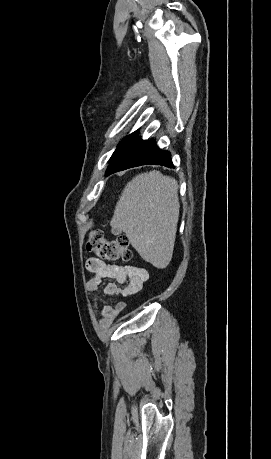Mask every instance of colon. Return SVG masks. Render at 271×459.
Wrapping results in <instances>:
<instances>
[{
    "mask_svg": "<svg viewBox=\"0 0 271 459\" xmlns=\"http://www.w3.org/2000/svg\"><path fill=\"white\" fill-rule=\"evenodd\" d=\"M87 249L98 258L106 261H128L132 257L126 236L121 235L116 239H109L101 230L90 232Z\"/></svg>",
    "mask_w": 271,
    "mask_h": 459,
    "instance_id": "obj_1",
    "label": "colon"
}]
</instances>
